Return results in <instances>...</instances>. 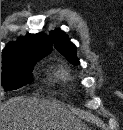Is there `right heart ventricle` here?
<instances>
[{"label": "right heart ventricle", "instance_id": "1", "mask_svg": "<svg viewBox=\"0 0 123 130\" xmlns=\"http://www.w3.org/2000/svg\"><path fill=\"white\" fill-rule=\"evenodd\" d=\"M53 75L56 79L59 80H68L70 78L68 72L65 71L64 69H56L53 72Z\"/></svg>", "mask_w": 123, "mask_h": 130}]
</instances>
